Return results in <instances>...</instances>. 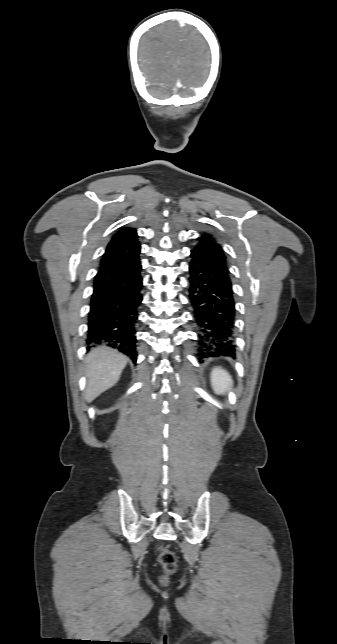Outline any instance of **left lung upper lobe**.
<instances>
[{
  "label": "left lung upper lobe",
  "mask_w": 337,
  "mask_h": 644,
  "mask_svg": "<svg viewBox=\"0 0 337 644\" xmlns=\"http://www.w3.org/2000/svg\"><path fill=\"white\" fill-rule=\"evenodd\" d=\"M197 240L198 243L192 251L218 263L229 274L226 257L215 238L210 234L202 233L201 237L197 238Z\"/></svg>",
  "instance_id": "5c2ea615"
}]
</instances>
